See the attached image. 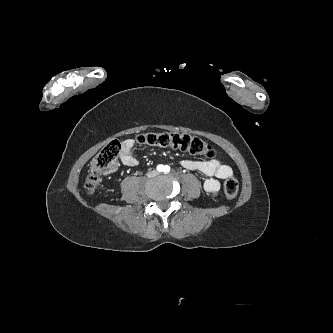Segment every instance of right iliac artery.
I'll return each mask as SVG.
<instances>
[{"label":"right iliac artery","mask_w":333,"mask_h":333,"mask_svg":"<svg viewBox=\"0 0 333 333\" xmlns=\"http://www.w3.org/2000/svg\"><path fill=\"white\" fill-rule=\"evenodd\" d=\"M157 170L159 171V172H162L163 170H164V166L163 165H158L157 166Z\"/></svg>","instance_id":"obj_1"}]
</instances>
